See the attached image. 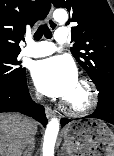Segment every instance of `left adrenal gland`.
I'll return each instance as SVG.
<instances>
[{
	"label": "left adrenal gland",
	"mask_w": 114,
	"mask_h": 156,
	"mask_svg": "<svg viewBox=\"0 0 114 156\" xmlns=\"http://www.w3.org/2000/svg\"><path fill=\"white\" fill-rule=\"evenodd\" d=\"M60 156H67V155L64 154V145L61 147V154H60Z\"/></svg>",
	"instance_id": "a2214340"
}]
</instances>
